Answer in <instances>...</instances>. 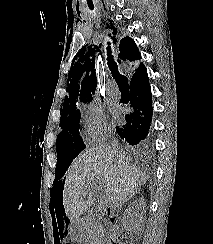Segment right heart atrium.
Listing matches in <instances>:
<instances>
[{
    "label": "right heart atrium",
    "instance_id": "obj_1",
    "mask_svg": "<svg viewBox=\"0 0 213 244\" xmlns=\"http://www.w3.org/2000/svg\"><path fill=\"white\" fill-rule=\"evenodd\" d=\"M82 135L88 142L105 139L111 132V126L103 108L97 102H90L82 110Z\"/></svg>",
    "mask_w": 213,
    "mask_h": 244
}]
</instances>
